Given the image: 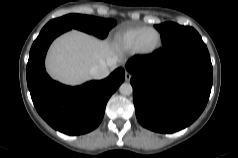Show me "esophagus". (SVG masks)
Listing matches in <instances>:
<instances>
[{
  "instance_id": "1",
  "label": "esophagus",
  "mask_w": 238,
  "mask_h": 158,
  "mask_svg": "<svg viewBox=\"0 0 238 158\" xmlns=\"http://www.w3.org/2000/svg\"><path fill=\"white\" fill-rule=\"evenodd\" d=\"M131 77H132V75L126 71L125 72V80L128 82V81H130Z\"/></svg>"
}]
</instances>
